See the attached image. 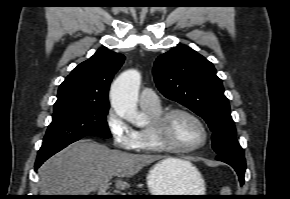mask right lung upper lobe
I'll use <instances>...</instances> for the list:
<instances>
[{"label":"right lung upper lobe","instance_id":"right-lung-upper-lobe-1","mask_svg":"<svg viewBox=\"0 0 290 199\" xmlns=\"http://www.w3.org/2000/svg\"><path fill=\"white\" fill-rule=\"evenodd\" d=\"M124 56L100 48L79 64L60 85L54 108L71 104H109L108 90Z\"/></svg>","mask_w":290,"mask_h":199}]
</instances>
